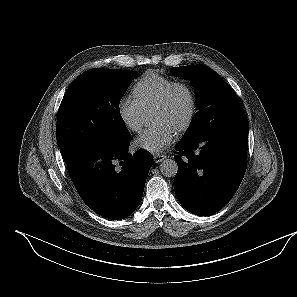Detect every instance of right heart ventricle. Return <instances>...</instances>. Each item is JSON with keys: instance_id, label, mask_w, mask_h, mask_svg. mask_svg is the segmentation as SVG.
<instances>
[{"instance_id": "right-heart-ventricle-1", "label": "right heart ventricle", "mask_w": 297, "mask_h": 297, "mask_svg": "<svg viewBox=\"0 0 297 297\" xmlns=\"http://www.w3.org/2000/svg\"><path fill=\"white\" fill-rule=\"evenodd\" d=\"M174 82L175 80L170 77L149 71L134 84L132 88L134 100L143 112H147L153 108L164 91Z\"/></svg>"}]
</instances>
